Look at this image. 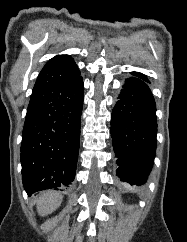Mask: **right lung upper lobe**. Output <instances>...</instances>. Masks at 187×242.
Wrapping results in <instances>:
<instances>
[{
	"mask_svg": "<svg viewBox=\"0 0 187 242\" xmlns=\"http://www.w3.org/2000/svg\"><path fill=\"white\" fill-rule=\"evenodd\" d=\"M80 73L70 55H57L51 58L37 77L34 90H39L64 83Z\"/></svg>",
	"mask_w": 187,
	"mask_h": 242,
	"instance_id": "right-lung-upper-lobe-1",
	"label": "right lung upper lobe"
}]
</instances>
